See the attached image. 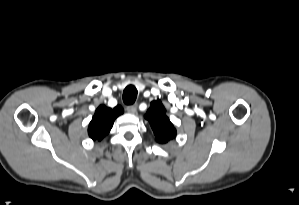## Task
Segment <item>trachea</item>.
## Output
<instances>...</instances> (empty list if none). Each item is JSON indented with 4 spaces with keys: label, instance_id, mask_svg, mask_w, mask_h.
<instances>
[{
    "label": "trachea",
    "instance_id": "1",
    "mask_svg": "<svg viewBox=\"0 0 299 205\" xmlns=\"http://www.w3.org/2000/svg\"><path fill=\"white\" fill-rule=\"evenodd\" d=\"M137 98V89L133 85H129L124 89L123 101L126 105H132Z\"/></svg>",
    "mask_w": 299,
    "mask_h": 205
}]
</instances>
